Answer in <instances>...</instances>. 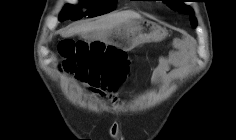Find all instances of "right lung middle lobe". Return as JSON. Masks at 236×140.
Returning <instances> with one entry per match:
<instances>
[{
	"mask_svg": "<svg viewBox=\"0 0 236 140\" xmlns=\"http://www.w3.org/2000/svg\"><path fill=\"white\" fill-rule=\"evenodd\" d=\"M85 6L89 8V11L82 14L81 10L77 6L66 5L60 14V20L67 19L78 20L83 15L89 17H95L112 11L115 8L116 0H82Z\"/></svg>",
	"mask_w": 236,
	"mask_h": 140,
	"instance_id": "1",
	"label": "right lung middle lobe"
}]
</instances>
